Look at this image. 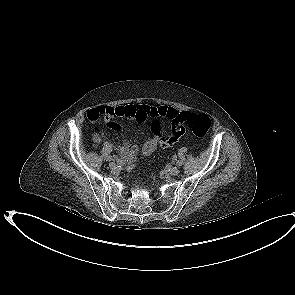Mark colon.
I'll use <instances>...</instances> for the list:
<instances>
[{
  "label": "colon",
  "instance_id": "colon-1",
  "mask_svg": "<svg viewBox=\"0 0 295 295\" xmlns=\"http://www.w3.org/2000/svg\"><path fill=\"white\" fill-rule=\"evenodd\" d=\"M140 117L142 116L140 115ZM177 123L180 134L183 132L185 127H187L191 129L195 135L203 137L210 128L211 120L209 116L204 113L197 114L187 112L178 116ZM156 149L157 142L154 139H147L140 147V154L143 157H150Z\"/></svg>",
  "mask_w": 295,
  "mask_h": 295
}]
</instances>
